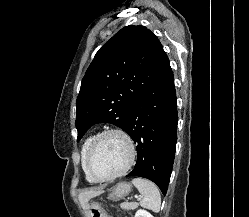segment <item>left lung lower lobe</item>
Listing matches in <instances>:
<instances>
[{
	"mask_svg": "<svg viewBox=\"0 0 249 217\" xmlns=\"http://www.w3.org/2000/svg\"><path fill=\"white\" fill-rule=\"evenodd\" d=\"M177 105L169 61L132 108L125 130L137 143V162L127 176L147 178L167 192L177 141Z\"/></svg>",
	"mask_w": 249,
	"mask_h": 217,
	"instance_id": "1",
	"label": "left lung lower lobe"
}]
</instances>
